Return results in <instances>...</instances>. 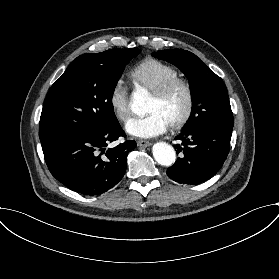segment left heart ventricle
I'll return each instance as SVG.
<instances>
[{"label": "left heart ventricle", "instance_id": "obj_1", "mask_svg": "<svg viewBox=\"0 0 279 279\" xmlns=\"http://www.w3.org/2000/svg\"><path fill=\"white\" fill-rule=\"evenodd\" d=\"M185 108L186 93L182 87H178L163 99L151 96L148 112L159 111L171 125L183 115Z\"/></svg>", "mask_w": 279, "mask_h": 279}]
</instances>
